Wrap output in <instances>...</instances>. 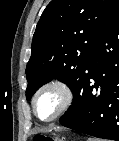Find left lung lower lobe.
I'll return each instance as SVG.
<instances>
[{"label":"left lung lower lobe","mask_w":119,"mask_h":141,"mask_svg":"<svg viewBox=\"0 0 119 141\" xmlns=\"http://www.w3.org/2000/svg\"><path fill=\"white\" fill-rule=\"evenodd\" d=\"M59 121L91 136L119 141V11L98 37L73 103Z\"/></svg>","instance_id":"left-lung-lower-lobe-1"}]
</instances>
